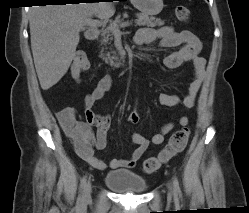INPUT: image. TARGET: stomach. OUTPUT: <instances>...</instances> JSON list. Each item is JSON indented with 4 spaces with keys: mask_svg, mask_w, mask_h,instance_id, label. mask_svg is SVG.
<instances>
[{
    "mask_svg": "<svg viewBox=\"0 0 249 213\" xmlns=\"http://www.w3.org/2000/svg\"><path fill=\"white\" fill-rule=\"evenodd\" d=\"M132 4L143 14L157 15L163 9V0H131Z\"/></svg>",
    "mask_w": 249,
    "mask_h": 213,
    "instance_id": "stomach-1",
    "label": "stomach"
}]
</instances>
